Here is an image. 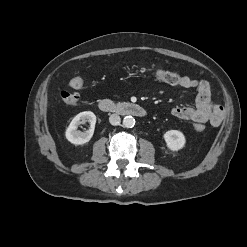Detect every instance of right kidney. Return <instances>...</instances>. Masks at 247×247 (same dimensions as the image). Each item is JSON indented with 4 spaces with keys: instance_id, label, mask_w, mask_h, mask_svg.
<instances>
[{
    "instance_id": "right-kidney-1",
    "label": "right kidney",
    "mask_w": 247,
    "mask_h": 247,
    "mask_svg": "<svg viewBox=\"0 0 247 247\" xmlns=\"http://www.w3.org/2000/svg\"><path fill=\"white\" fill-rule=\"evenodd\" d=\"M89 122L90 129L86 132H81L77 130L78 125L81 123ZM96 124V116L91 111H84L77 114L72 121L70 122L69 126L66 129L65 136L66 139L74 144V145H83L90 141L93 136L94 129Z\"/></svg>"
}]
</instances>
